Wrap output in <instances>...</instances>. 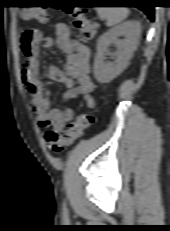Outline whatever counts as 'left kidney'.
Wrapping results in <instances>:
<instances>
[{
    "label": "left kidney",
    "instance_id": "obj_1",
    "mask_svg": "<svg viewBox=\"0 0 170 231\" xmlns=\"http://www.w3.org/2000/svg\"><path fill=\"white\" fill-rule=\"evenodd\" d=\"M140 33L141 25L138 21H126L99 37L94 58V76L98 82L109 83L124 71L137 48ZM120 36L125 38L120 40ZM111 44L118 48L114 63L105 62V56Z\"/></svg>",
    "mask_w": 170,
    "mask_h": 231
}]
</instances>
